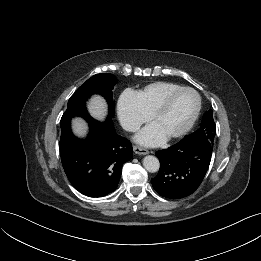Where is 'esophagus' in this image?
I'll return each instance as SVG.
<instances>
[{"label":"esophagus","instance_id":"esophagus-1","mask_svg":"<svg viewBox=\"0 0 261 261\" xmlns=\"http://www.w3.org/2000/svg\"><path fill=\"white\" fill-rule=\"evenodd\" d=\"M133 151L136 153V154H139V155H146L148 154V150H146L145 148H142L140 146H134L133 147Z\"/></svg>","mask_w":261,"mask_h":261}]
</instances>
